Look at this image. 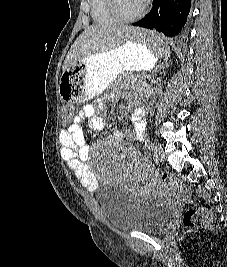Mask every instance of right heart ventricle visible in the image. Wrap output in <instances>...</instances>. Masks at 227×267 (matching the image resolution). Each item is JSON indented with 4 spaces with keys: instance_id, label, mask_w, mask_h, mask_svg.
<instances>
[{
    "instance_id": "e07e8e85",
    "label": "right heart ventricle",
    "mask_w": 227,
    "mask_h": 267,
    "mask_svg": "<svg viewBox=\"0 0 227 267\" xmlns=\"http://www.w3.org/2000/svg\"><path fill=\"white\" fill-rule=\"evenodd\" d=\"M91 13L94 21L102 25L118 23L108 7V0H90Z\"/></svg>"
}]
</instances>
